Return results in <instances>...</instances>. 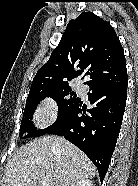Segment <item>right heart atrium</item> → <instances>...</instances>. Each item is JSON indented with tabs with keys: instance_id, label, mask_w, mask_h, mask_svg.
I'll use <instances>...</instances> for the list:
<instances>
[{
	"instance_id": "d8ad5b80",
	"label": "right heart atrium",
	"mask_w": 138,
	"mask_h": 186,
	"mask_svg": "<svg viewBox=\"0 0 138 186\" xmlns=\"http://www.w3.org/2000/svg\"><path fill=\"white\" fill-rule=\"evenodd\" d=\"M58 114V107L56 101L48 97L44 99L36 110V120L42 127H46L53 123Z\"/></svg>"
}]
</instances>
